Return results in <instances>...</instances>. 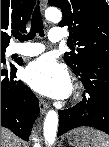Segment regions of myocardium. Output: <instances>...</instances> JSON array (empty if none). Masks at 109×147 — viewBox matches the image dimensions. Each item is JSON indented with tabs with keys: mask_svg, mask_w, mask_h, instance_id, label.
Masks as SVG:
<instances>
[{
	"mask_svg": "<svg viewBox=\"0 0 109 147\" xmlns=\"http://www.w3.org/2000/svg\"><path fill=\"white\" fill-rule=\"evenodd\" d=\"M82 96H83V88L79 83H77L74 85L72 90V100L74 102H78L81 100Z\"/></svg>",
	"mask_w": 109,
	"mask_h": 147,
	"instance_id": "obj_1",
	"label": "myocardium"
}]
</instances>
